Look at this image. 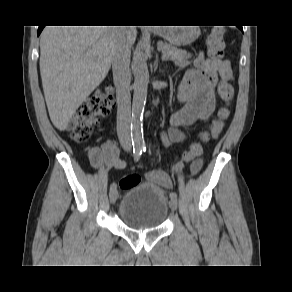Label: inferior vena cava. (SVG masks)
Listing matches in <instances>:
<instances>
[{"label": "inferior vena cava", "instance_id": "602c4592", "mask_svg": "<svg viewBox=\"0 0 292 292\" xmlns=\"http://www.w3.org/2000/svg\"><path fill=\"white\" fill-rule=\"evenodd\" d=\"M120 33L112 61L113 80L117 98V134L125 150L131 148V96H130V55L131 43L126 34L131 26H118Z\"/></svg>", "mask_w": 292, "mask_h": 292}]
</instances>
